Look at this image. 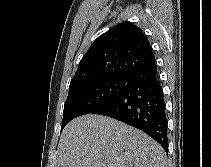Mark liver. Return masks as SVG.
I'll list each match as a JSON object with an SVG mask.
<instances>
[{
  "label": "liver",
  "instance_id": "6515ba94",
  "mask_svg": "<svg viewBox=\"0 0 211 167\" xmlns=\"http://www.w3.org/2000/svg\"><path fill=\"white\" fill-rule=\"evenodd\" d=\"M58 167H166V155L142 131L113 118L88 114L64 128Z\"/></svg>",
  "mask_w": 211,
  "mask_h": 167
}]
</instances>
